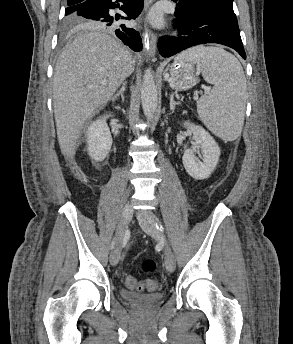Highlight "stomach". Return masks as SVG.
Instances as JSON below:
<instances>
[{
    "label": "stomach",
    "instance_id": "obj_1",
    "mask_svg": "<svg viewBox=\"0 0 293 344\" xmlns=\"http://www.w3.org/2000/svg\"><path fill=\"white\" fill-rule=\"evenodd\" d=\"M200 66L188 59L176 58L165 74L170 86L179 91H185L195 86L199 79Z\"/></svg>",
    "mask_w": 293,
    "mask_h": 344
}]
</instances>
